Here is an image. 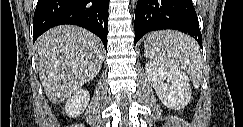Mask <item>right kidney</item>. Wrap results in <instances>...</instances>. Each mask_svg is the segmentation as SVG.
Listing matches in <instances>:
<instances>
[{
    "label": "right kidney",
    "instance_id": "obj_1",
    "mask_svg": "<svg viewBox=\"0 0 243 127\" xmlns=\"http://www.w3.org/2000/svg\"><path fill=\"white\" fill-rule=\"evenodd\" d=\"M90 95L87 90H78L65 103V112L69 117L79 116L87 107Z\"/></svg>",
    "mask_w": 243,
    "mask_h": 127
}]
</instances>
